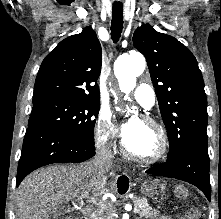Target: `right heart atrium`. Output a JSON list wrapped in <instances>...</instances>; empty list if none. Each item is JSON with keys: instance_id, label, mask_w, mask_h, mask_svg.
I'll list each match as a JSON object with an SVG mask.
<instances>
[{"instance_id": "right-heart-atrium-1", "label": "right heart atrium", "mask_w": 221, "mask_h": 219, "mask_svg": "<svg viewBox=\"0 0 221 219\" xmlns=\"http://www.w3.org/2000/svg\"><path fill=\"white\" fill-rule=\"evenodd\" d=\"M114 136V127L111 115L107 111H101L95 123V142L96 145L104 150L111 149Z\"/></svg>"}]
</instances>
